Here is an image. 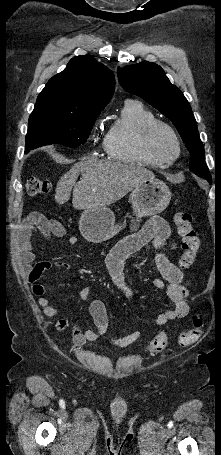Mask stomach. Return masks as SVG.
Wrapping results in <instances>:
<instances>
[{
	"mask_svg": "<svg viewBox=\"0 0 221 455\" xmlns=\"http://www.w3.org/2000/svg\"><path fill=\"white\" fill-rule=\"evenodd\" d=\"M172 193L159 179H146L132 191L130 200L137 218L162 212L170 203ZM124 225L115 224L112 210L106 206L85 209L79 220V230L89 242L99 244L113 238Z\"/></svg>",
	"mask_w": 221,
	"mask_h": 455,
	"instance_id": "obj_1",
	"label": "stomach"
}]
</instances>
